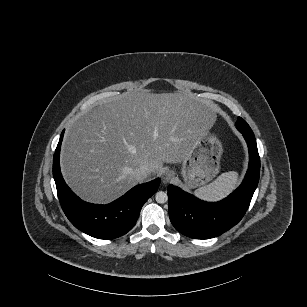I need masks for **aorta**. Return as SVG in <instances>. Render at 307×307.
Here are the masks:
<instances>
[{
  "mask_svg": "<svg viewBox=\"0 0 307 307\" xmlns=\"http://www.w3.org/2000/svg\"><path fill=\"white\" fill-rule=\"evenodd\" d=\"M155 200L157 203H165L168 200V196L165 192L159 191L155 195Z\"/></svg>",
  "mask_w": 307,
  "mask_h": 307,
  "instance_id": "obj_1",
  "label": "aorta"
}]
</instances>
